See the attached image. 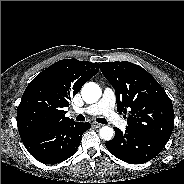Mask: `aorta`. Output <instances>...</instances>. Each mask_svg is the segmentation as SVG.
Here are the masks:
<instances>
[{"label":"aorta","instance_id":"obj_1","mask_svg":"<svg viewBox=\"0 0 184 184\" xmlns=\"http://www.w3.org/2000/svg\"><path fill=\"white\" fill-rule=\"evenodd\" d=\"M81 94L83 100L86 103L91 104L97 102L100 99L102 90L98 84L94 82H89L83 86ZM99 136L101 139L109 141L114 136V130L109 126H104L100 129Z\"/></svg>","mask_w":184,"mask_h":184}]
</instances>
